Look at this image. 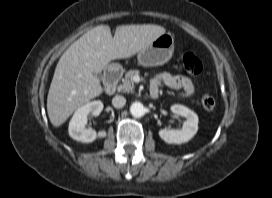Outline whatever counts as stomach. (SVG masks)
<instances>
[{
	"instance_id": "obj_1",
	"label": "stomach",
	"mask_w": 272,
	"mask_h": 198,
	"mask_svg": "<svg viewBox=\"0 0 272 198\" xmlns=\"http://www.w3.org/2000/svg\"><path fill=\"white\" fill-rule=\"evenodd\" d=\"M173 52L174 37L163 34L138 53V63L145 67L163 65L171 59Z\"/></svg>"
}]
</instances>
